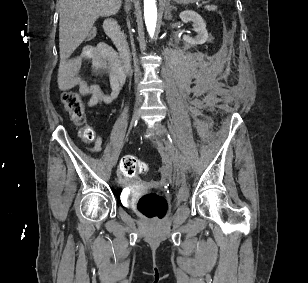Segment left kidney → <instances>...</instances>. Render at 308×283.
Returning <instances> with one entry per match:
<instances>
[{"instance_id":"1","label":"left kidney","mask_w":308,"mask_h":283,"mask_svg":"<svg viewBox=\"0 0 308 283\" xmlns=\"http://www.w3.org/2000/svg\"><path fill=\"white\" fill-rule=\"evenodd\" d=\"M180 19L184 22H193L194 31L197 33L195 38L184 35L183 40L191 45L203 44L208 39L206 24L202 17L194 11H183L180 13Z\"/></svg>"}]
</instances>
